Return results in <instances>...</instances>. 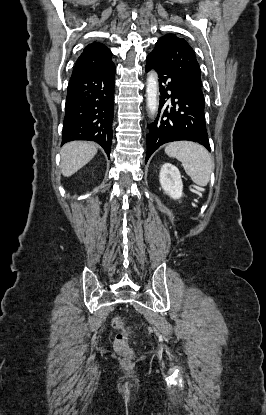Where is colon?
Segmentation results:
<instances>
[{
    "instance_id": "obj_1",
    "label": "colon",
    "mask_w": 266,
    "mask_h": 415,
    "mask_svg": "<svg viewBox=\"0 0 266 415\" xmlns=\"http://www.w3.org/2000/svg\"><path fill=\"white\" fill-rule=\"evenodd\" d=\"M112 327L119 332L114 339L115 350L122 355H130L131 349L129 347V336L132 333V328L121 317L117 316L112 319Z\"/></svg>"
}]
</instances>
